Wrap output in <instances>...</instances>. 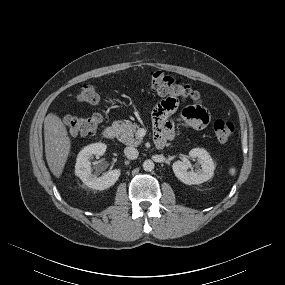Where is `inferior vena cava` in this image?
Listing matches in <instances>:
<instances>
[{
    "label": "inferior vena cava",
    "instance_id": "1",
    "mask_svg": "<svg viewBox=\"0 0 285 285\" xmlns=\"http://www.w3.org/2000/svg\"><path fill=\"white\" fill-rule=\"evenodd\" d=\"M124 154L128 159L134 160L138 157L139 152L136 148L130 146L124 149Z\"/></svg>",
    "mask_w": 285,
    "mask_h": 285
}]
</instances>
